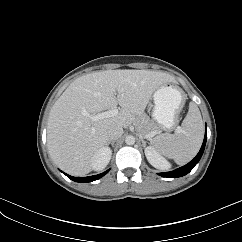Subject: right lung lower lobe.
I'll return each mask as SVG.
<instances>
[{
    "label": "right lung lower lobe",
    "mask_w": 242,
    "mask_h": 242,
    "mask_svg": "<svg viewBox=\"0 0 242 242\" xmlns=\"http://www.w3.org/2000/svg\"><path fill=\"white\" fill-rule=\"evenodd\" d=\"M109 170L98 174V175H94V176H89V177H72L70 175L65 174L67 177H69L71 180L76 181V182H92L95 181L99 178H101L102 176H104Z\"/></svg>",
    "instance_id": "right-lung-lower-lobe-1"
}]
</instances>
